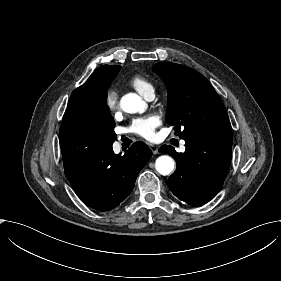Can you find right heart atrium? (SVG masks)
I'll return each mask as SVG.
<instances>
[{"label": "right heart atrium", "mask_w": 281, "mask_h": 281, "mask_svg": "<svg viewBox=\"0 0 281 281\" xmlns=\"http://www.w3.org/2000/svg\"><path fill=\"white\" fill-rule=\"evenodd\" d=\"M105 104L109 109H115L118 106V93L110 88L105 93Z\"/></svg>", "instance_id": "obj_1"}]
</instances>
